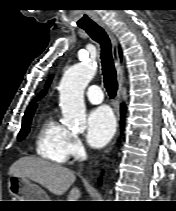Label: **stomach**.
<instances>
[{"label":"stomach","instance_id":"obj_1","mask_svg":"<svg viewBox=\"0 0 176 211\" xmlns=\"http://www.w3.org/2000/svg\"><path fill=\"white\" fill-rule=\"evenodd\" d=\"M8 191L19 201H49L47 194L39 186L15 175L9 176Z\"/></svg>","mask_w":176,"mask_h":211}]
</instances>
